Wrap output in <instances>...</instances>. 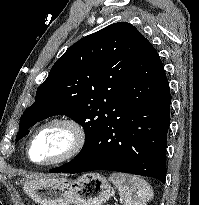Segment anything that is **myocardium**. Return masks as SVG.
<instances>
[{
	"instance_id": "f54148a6",
	"label": "myocardium",
	"mask_w": 199,
	"mask_h": 205,
	"mask_svg": "<svg viewBox=\"0 0 199 205\" xmlns=\"http://www.w3.org/2000/svg\"><path fill=\"white\" fill-rule=\"evenodd\" d=\"M58 126L65 128L70 134V142L66 150L58 157L44 162L35 161L32 158V148L36 138L45 130ZM87 142V132L85 127L77 119L68 116H59L51 118L39 126L32 134L27 145V154L31 162L41 166H52L69 161L78 156L84 149Z\"/></svg>"
}]
</instances>
